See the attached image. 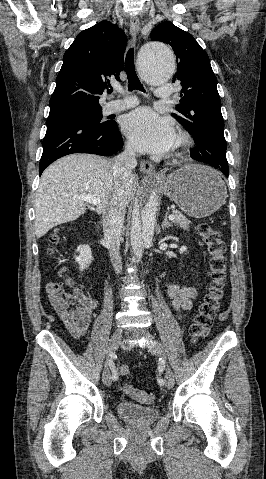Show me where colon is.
<instances>
[{
	"instance_id": "colon-1",
	"label": "colon",
	"mask_w": 266,
	"mask_h": 479,
	"mask_svg": "<svg viewBox=\"0 0 266 479\" xmlns=\"http://www.w3.org/2000/svg\"><path fill=\"white\" fill-rule=\"evenodd\" d=\"M197 233L208 251L210 283L203 300L198 305L189 329L191 340L194 343L199 342L207 335L224 296L227 278L226 244L224 240L220 237L218 231L207 222L198 224ZM58 243L59 235L55 232L50 237V254L56 251ZM120 374L124 377L128 376L130 374L129 367L122 366ZM123 390L130 397L144 404H150L155 399L153 393L138 390L129 384L124 385Z\"/></svg>"
}]
</instances>
